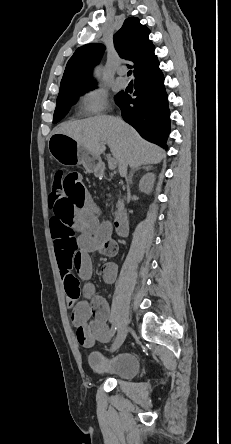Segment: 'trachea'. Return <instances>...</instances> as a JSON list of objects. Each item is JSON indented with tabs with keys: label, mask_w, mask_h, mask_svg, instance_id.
<instances>
[{
	"label": "trachea",
	"mask_w": 231,
	"mask_h": 444,
	"mask_svg": "<svg viewBox=\"0 0 231 444\" xmlns=\"http://www.w3.org/2000/svg\"><path fill=\"white\" fill-rule=\"evenodd\" d=\"M131 74H132V71L129 70V71L127 72V76H130Z\"/></svg>",
	"instance_id": "trachea-1"
}]
</instances>
